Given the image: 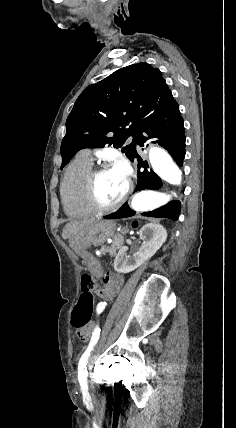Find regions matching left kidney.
Returning a JSON list of instances; mask_svg holds the SVG:
<instances>
[{"label":"left kidney","instance_id":"1","mask_svg":"<svg viewBox=\"0 0 236 428\" xmlns=\"http://www.w3.org/2000/svg\"><path fill=\"white\" fill-rule=\"evenodd\" d=\"M140 240H143L141 248L135 254L127 256L128 246H123L119 250L114 260V270L118 274H129L146 260L152 258L162 244L166 242L167 232L160 224H146L139 232Z\"/></svg>","mask_w":236,"mask_h":428}]
</instances>
